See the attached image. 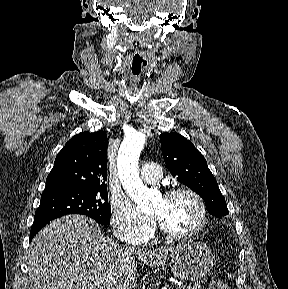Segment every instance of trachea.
I'll return each instance as SVG.
<instances>
[{"label": "trachea", "instance_id": "obj_1", "mask_svg": "<svg viewBox=\"0 0 288 289\" xmlns=\"http://www.w3.org/2000/svg\"><path fill=\"white\" fill-rule=\"evenodd\" d=\"M147 60L146 58L136 52L134 53L131 58H130V62H129V70H130V73H131V76L133 79H137L139 78L143 72L146 70L147 68ZM133 87L130 89V96H133Z\"/></svg>", "mask_w": 288, "mask_h": 289}]
</instances>
